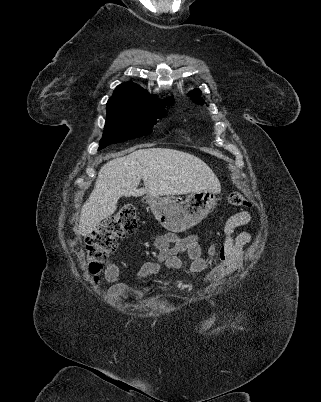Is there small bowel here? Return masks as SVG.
Instances as JSON below:
<instances>
[{"instance_id":"small-bowel-1","label":"small bowel","mask_w":321,"mask_h":402,"mask_svg":"<svg viewBox=\"0 0 321 402\" xmlns=\"http://www.w3.org/2000/svg\"><path fill=\"white\" fill-rule=\"evenodd\" d=\"M251 219V214L246 210H242L234 213L226 220L224 225L226 238L221 251L222 259L214 267H211L210 260L204 256L203 248L197 236L178 237L172 233L158 236L154 241L157 256L143 265L138 276L146 277L154 275L160 271L163 265L165 268L172 270L185 269L194 276L206 271V282L214 283L219 281L238 267L244 248L252 243V236L248 232H241L235 235V231L240 227L248 225ZM181 254L187 256L190 260L189 264L184 261ZM105 277L112 284L109 288V294L113 297L131 289L126 284L117 283L119 269L115 264L109 263L106 266ZM205 325L213 327L214 323L207 322ZM191 326L195 328L194 332L196 335H204L206 332L202 321H193ZM236 327H243V322H236ZM214 332L220 335L223 329L217 326Z\"/></svg>"}]
</instances>
